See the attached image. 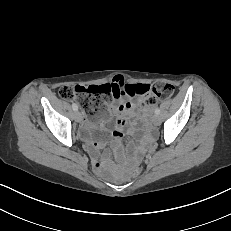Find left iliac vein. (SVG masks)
<instances>
[{
  "mask_svg": "<svg viewBox=\"0 0 231 231\" xmlns=\"http://www.w3.org/2000/svg\"><path fill=\"white\" fill-rule=\"evenodd\" d=\"M151 121L154 125L157 126L160 124V117L157 114H155L152 116Z\"/></svg>",
  "mask_w": 231,
  "mask_h": 231,
  "instance_id": "obj_1",
  "label": "left iliac vein"
}]
</instances>
